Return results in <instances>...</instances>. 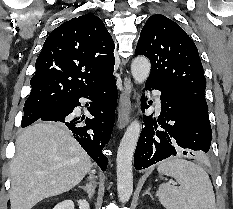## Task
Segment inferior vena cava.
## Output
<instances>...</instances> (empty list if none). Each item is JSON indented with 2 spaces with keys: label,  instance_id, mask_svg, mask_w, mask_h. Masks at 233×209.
I'll return each instance as SVG.
<instances>
[{
  "label": "inferior vena cava",
  "instance_id": "1",
  "mask_svg": "<svg viewBox=\"0 0 233 209\" xmlns=\"http://www.w3.org/2000/svg\"><path fill=\"white\" fill-rule=\"evenodd\" d=\"M94 172H95V171L93 170V171H92V174H94ZM92 176H93V175H91V177H92Z\"/></svg>",
  "mask_w": 233,
  "mask_h": 209
}]
</instances>
